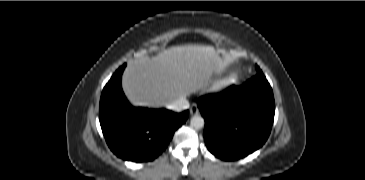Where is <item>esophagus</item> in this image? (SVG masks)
<instances>
[{
  "label": "esophagus",
  "instance_id": "34e87169",
  "mask_svg": "<svg viewBox=\"0 0 365 180\" xmlns=\"http://www.w3.org/2000/svg\"><path fill=\"white\" fill-rule=\"evenodd\" d=\"M190 114L191 115H198L199 114V109L197 108L196 105H193L191 108H190Z\"/></svg>",
  "mask_w": 365,
  "mask_h": 180
}]
</instances>
